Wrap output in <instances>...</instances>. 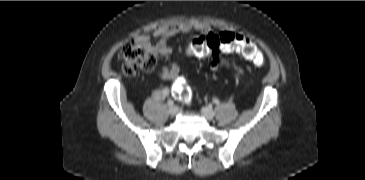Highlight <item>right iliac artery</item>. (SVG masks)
I'll list each match as a JSON object with an SVG mask.
<instances>
[{
  "label": "right iliac artery",
  "mask_w": 365,
  "mask_h": 180,
  "mask_svg": "<svg viewBox=\"0 0 365 180\" xmlns=\"http://www.w3.org/2000/svg\"><path fill=\"white\" fill-rule=\"evenodd\" d=\"M167 104H168V106H173L174 102H173V100H168Z\"/></svg>",
  "instance_id": "right-iliac-artery-1"
}]
</instances>
